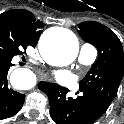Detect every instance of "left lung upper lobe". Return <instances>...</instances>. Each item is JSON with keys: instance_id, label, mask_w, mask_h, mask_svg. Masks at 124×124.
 <instances>
[{"instance_id": "obj_1", "label": "left lung upper lobe", "mask_w": 124, "mask_h": 124, "mask_svg": "<svg viewBox=\"0 0 124 124\" xmlns=\"http://www.w3.org/2000/svg\"><path fill=\"white\" fill-rule=\"evenodd\" d=\"M81 38L98 50V58L79 83V90L108 108L117 94L124 74V53L117 35L95 21L79 25Z\"/></svg>"}]
</instances>
